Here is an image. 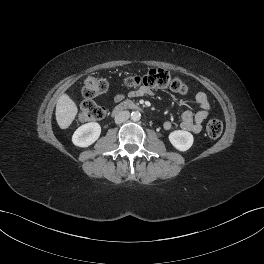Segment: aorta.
Masks as SVG:
<instances>
[{"label":"aorta","instance_id":"aorta-1","mask_svg":"<svg viewBox=\"0 0 264 264\" xmlns=\"http://www.w3.org/2000/svg\"><path fill=\"white\" fill-rule=\"evenodd\" d=\"M131 119H132L133 121H139V120L141 119V114H140V112H138V111H133V112L131 113Z\"/></svg>","mask_w":264,"mask_h":264}]
</instances>
